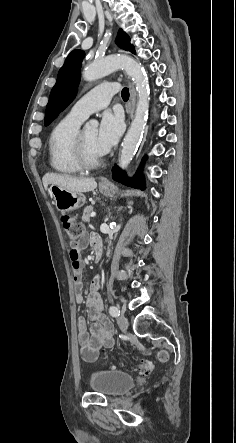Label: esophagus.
Here are the masks:
<instances>
[{
  "label": "esophagus",
  "mask_w": 236,
  "mask_h": 443,
  "mask_svg": "<svg viewBox=\"0 0 236 443\" xmlns=\"http://www.w3.org/2000/svg\"><path fill=\"white\" fill-rule=\"evenodd\" d=\"M129 88H130V101H131V109H130L129 117L132 118L134 111H135V107H136V91H135V87L131 81H129ZM100 184L106 185V184H109V181L106 178H102L100 181Z\"/></svg>",
  "instance_id": "34e87169"
}]
</instances>
